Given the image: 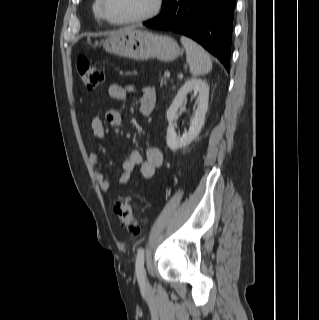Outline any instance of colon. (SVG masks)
<instances>
[{
  "label": "colon",
  "instance_id": "colon-1",
  "mask_svg": "<svg viewBox=\"0 0 319 320\" xmlns=\"http://www.w3.org/2000/svg\"><path fill=\"white\" fill-rule=\"evenodd\" d=\"M77 69L84 85L89 89H95L104 81L103 72L85 57H79L77 59ZM114 213L121 226L126 229L130 235L140 233L141 218L136 212L129 196L118 199L114 206Z\"/></svg>",
  "mask_w": 319,
  "mask_h": 320
}]
</instances>
